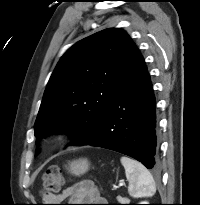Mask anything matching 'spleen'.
I'll list each match as a JSON object with an SVG mask.
<instances>
[{
	"mask_svg": "<svg viewBox=\"0 0 200 205\" xmlns=\"http://www.w3.org/2000/svg\"><path fill=\"white\" fill-rule=\"evenodd\" d=\"M120 161L129 181L128 192L130 196L135 198L153 196L156 192V186L149 170L140 162L125 156H122Z\"/></svg>",
	"mask_w": 200,
	"mask_h": 205,
	"instance_id": "3e777b00",
	"label": "spleen"
}]
</instances>
